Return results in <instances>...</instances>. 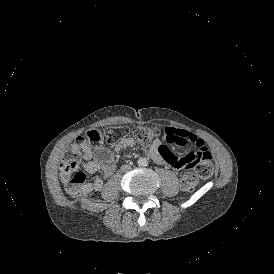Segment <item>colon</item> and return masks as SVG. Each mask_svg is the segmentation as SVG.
Returning a JSON list of instances; mask_svg holds the SVG:
<instances>
[{
	"label": "colon",
	"instance_id": "5ec220e1",
	"mask_svg": "<svg viewBox=\"0 0 274 274\" xmlns=\"http://www.w3.org/2000/svg\"><path fill=\"white\" fill-rule=\"evenodd\" d=\"M125 132L124 127H109L103 136L107 143H114L122 137ZM131 134L143 143H150L159 135V130L149 127H132ZM104 139L102 138V141H104ZM97 142V134L78 136L76 141L69 145L65 158L60 162V175L66 184V190L70 194L78 193L80 189L87 186V176L80 168L78 150L95 148ZM198 181V176L195 173H185L181 178V183L187 190H192Z\"/></svg>",
	"mask_w": 274,
	"mask_h": 274
}]
</instances>
